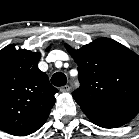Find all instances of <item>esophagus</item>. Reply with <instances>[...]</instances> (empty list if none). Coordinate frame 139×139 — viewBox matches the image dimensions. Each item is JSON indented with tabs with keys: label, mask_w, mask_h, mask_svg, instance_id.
<instances>
[{
	"label": "esophagus",
	"mask_w": 139,
	"mask_h": 139,
	"mask_svg": "<svg viewBox=\"0 0 139 139\" xmlns=\"http://www.w3.org/2000/svg\"><path fill=\"white\" fill-rule=\"evenodd\" d=\"M70 86L69 85H64L60 88V91L63 93L69 92L70 91Z\"/></svg>",
	"instance_id": "obj_1"
}]
</instances>
